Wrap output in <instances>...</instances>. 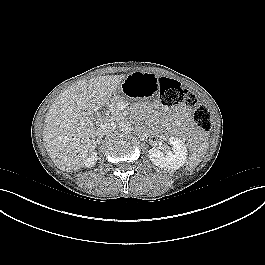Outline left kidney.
Wrapping results in <instances>:
<instances>
[{"instance_id":"left-kidney-1","label":"left kidney","mask_w":265,"mask_h":265,"mask_svg":"<svg viewBox=\"0 0 265 265\" xmlns=\"http://www.w3.org/2000/svg\"><path fill=\"white\" fill-rule=\"evenodd\" d=\"M169 144L172 146V151H161L157 147L149 150V158L151 162L161 168L168 170H177L182 167L187 159V148L185 144L176 137L169 138Z\"/></svg>"}]
</instances>
